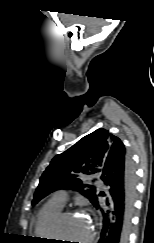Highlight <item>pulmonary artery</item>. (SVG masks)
Returning <instances> with one entry per match:
<instances>
[{
    "instance_id": "1",
    "label": "pulmonary artery",
    "mask_w": 154,
    "mask_h": 243,
    "mask_svg": "<svg viewBox=\"0 0 154 243\" xmlns=\"http://www.w3.org/2000/svg\"><path fill=\"white\" fill-rule=\"evenodd\" d=\"M97 184H98L100 187L103 186V183H102V181H100V180L97 182ZM67 199H68V197H67V193H66L65 190H57V191H55V192L53 193V195H52V198H51V200H52L53 202H55V203H57V204H59V205H61V206H63V207H64V205L66 204Z\"/></svg>"
}]
</instances>
